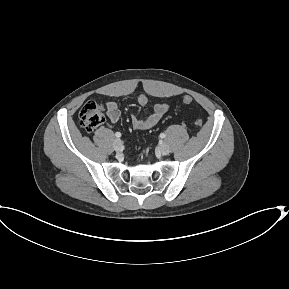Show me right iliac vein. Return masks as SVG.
I'll return each mask as SVG.
<instances>
[{"label": "right iliac vein", "mask_w": 289, "mask_h": 289, "mask_svg": "<svg viewBox=\"0 0 289 289\" xmlns=\"http://www.w3.org/2000/svg\"><path fill=\"white\" fill-rule=\"evenodd\" d=\"M113 147L116 151H120L122 149V141L120 139H116L113 143Z\"/></svg>", "instance_id": "63e3f726"}]
</instances>
